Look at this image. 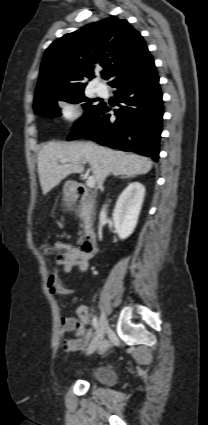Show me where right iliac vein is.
Listing matches in <instances>:
<instances>
[{
  "label": "right iliac vein",
  "mask_w": 208,
  "mask_h": 425,
  "mask_svg": "<svg viewBox=\"0 0 208 425\" xmlns=\"http://www.w3.org/2000/svg\"><path fill=\"white\" fill-rule=\"evenodd\" d=\"M108 330L109 324L107 318L104 314H102L100 317L98 328L95 333V337L87 349L88 354L95 352L98 348H104L103 339Z\"/></svg>",
  "instance_id": "right-iliac-vein-1"
}]
</instances>
